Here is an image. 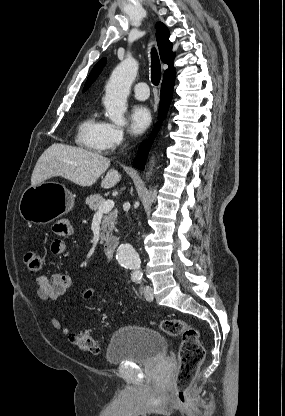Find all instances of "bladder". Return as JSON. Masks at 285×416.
Masks as SVG:
<instances>
[{
  "instance_id": "1",
  "label": "bladder",
  "mask_w": 285,
  "mask_h": 416,
  "mask_svg": "<svg viewBox=\"0 0 285 416\" xmlns=\"http://www.w3.org/2000/svg\"><path fill=\"white\" fill-rule=\"evenodd\" d=\"M167 354L164 335L147 326L124 325L112 334L106 358L108 363H152Z\"/></svg>"
}]
</instances>
